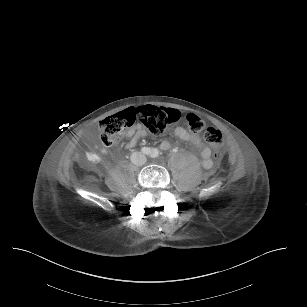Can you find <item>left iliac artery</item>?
<instances>
[{
    "mask_svg": "<svg viewBox=\"0 0 307 307\" xmlns=\"http://www.w3.org/2000/svg\"><path fill=\"white\" fill-rule=\"evenodd\" d=\"M149 155L151 158H157L159 156V151L154 148L151 150V153Z\"/></svg>",
    "mask_w": 307,
    "mask_h": 307,
    "instance_id": "obj_1",
    "label": "left iliac artery"
}]
</instances>
